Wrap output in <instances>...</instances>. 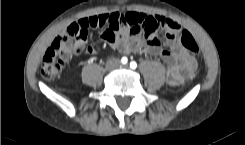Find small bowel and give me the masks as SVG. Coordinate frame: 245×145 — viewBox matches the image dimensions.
<instances>
[{
	"mask_svg": "<svg viewBox=\"0 0 245 145\" xmlns=\"http://www.w3.org/2000/svg\"><path fill=\"white\" fill-rule=\"evenodd\" d=\"M103 17L105 24L98 26L104 28L102 39L109 43L114 50L123 54L145 47L151 55L160 56L167 65V80L171 85H180L196 73L198 62L183 46L176 30L171 28V23H175L172 20L164 17L166 22L163 27L167 29L165 34L167 48H163L159 37L153 32H145L143 36L139 37L129 35L130 25L144 27L148 25L149 17L162 16L136 11H121L105 14ZM116 32H119V35ZM81 44L86 49L83 55L93 52L90 46L85 45L84 40Z\"/></svg>",
	"mask_w": 245,
	"mask_h": 145,
	"instance_id": "small-bowel-1",
	"label": "small bowel"
}]
</instances>
